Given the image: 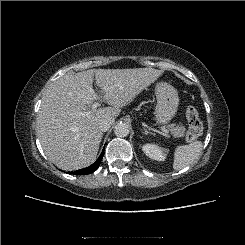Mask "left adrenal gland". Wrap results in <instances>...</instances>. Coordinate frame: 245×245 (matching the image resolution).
<instances>
[{"mask_svg": "<svg viewBox=\"0 0 245 245\" xmlns=\"http://www.w3.org/2000/svg\"><path fill=\"white\" fill-rule=\"evenodd\" d=\"M143 133H144L145 135L152 134V132H149V131H148V130H146L145 128H144Z\"/></svg>", "mask_w": 245, "mask_h": 245, "instance_id": "1", "label": "left adrenal gland"}]
</instances>
